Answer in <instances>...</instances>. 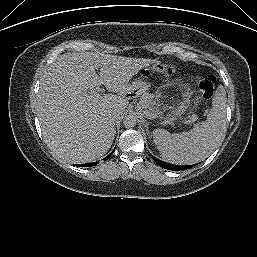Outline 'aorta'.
<instances>
[{
  "instance_id": "1",
  "label": "aorta",
  "mask_w": 257,
  "mask_h": 257,
  "mask_svg": "<svg viewBox=\"0 0 257 257\" xmlns=\"http://www.w3.org/2000/svg\"><path fill=\"white\" fill-rule=\"evenodd\" d=\"M137 117L134 114H129L124 117L123 124L126 128H133L136 126Z\"/></svg>"
}]
</instances>
